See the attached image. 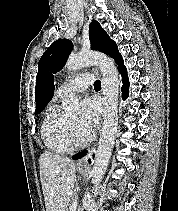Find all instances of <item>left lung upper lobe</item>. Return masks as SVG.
Instances as JSON below:
<instances>
[{"instance_id": "5c2ea615", "label": "left lung upper lobe", "mask_w": 178, "mask_h": 211, "mask_svg": "<svg viewBox=\"0 0 178 211\" xmlns=\"http://www.w3.org/2000/svg\"><path fill=\"white\" fill-rule=\"evenodd\" d=\"M92 49L98 50L112 57L116 62L121 55L117 49L116 43L109 38L106 31L97 21H92L89 28ZM73 44L70 40H56L42 55L38 63V73L36 76V90L40 88L41 81L47 74L58 72L65 64Z\"/></svg>"}]
</instances>
